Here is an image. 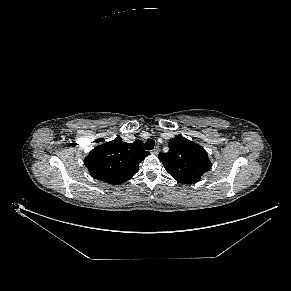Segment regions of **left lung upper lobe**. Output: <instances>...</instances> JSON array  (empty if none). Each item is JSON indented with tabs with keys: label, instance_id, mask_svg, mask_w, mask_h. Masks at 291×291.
<instances>
[{
	"label": "left lung upper lobe",
	"instance_id": "left-lung-upper-lobe-1",
	"mask_svg": "<svg viewBox=\"0 0 291 291\" xmlns=\"http://www.w3.org/2000/svg\"><path fill=\"white\" fill-rule=\"evenodd\" d=\"M168 146L169 152L158 157L166 171L180 183L195 184L212 167L205 149L183 136L170 139Z\"/></svg>",
	"mask_w": 291,
	"mask_h": 291
}]
</instances>
